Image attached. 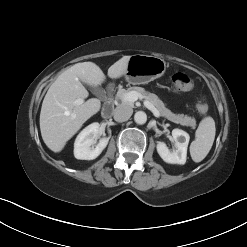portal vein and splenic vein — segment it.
I'll list each match as a JSON object with an SVG mask.
<instances>
[{"label":"portal vein and splenic vein","mask_w":247,"mask_h":247,"mask_svg":"<svg viewBox=\"0 0 247 247\" xmlns=\"http://www.w3.org/2000/svg\"><path fill=\"white\" fill-rule=\"evenodd\" d=\"M140 98V95L136 92V91H131L128 92L124 95V100L127 102H135ZM84 102L83 99H77L75 101L76 105H81ZM145 106L152 111V113L154 114L155 117H159L160 113L159 111L148 101H145Z\"/></svg>","instance_id":"portal-vein-and-splenic-vein-1"}]
</instances>
